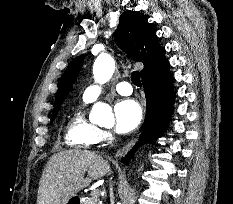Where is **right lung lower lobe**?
<instances>
[{
    "mask_svg": "<svg viewBox=\"0 0 233 204\" xmlns=\"http://www.w3.org/2000/svg\"><path fill=\"white\" fill-rule=\"evenodd\" d=\"M141 78L146 96V119L139 141L126 156L124 161L126 165L141 144L150 140L154 143L155 139L163 133L173 112L174 78L169 71V64Z\"/></svg>",
    "mask_w": 233,
    "mask_h": 204,
    "instance_id": "obj_1",
    "label": "right lung lower lobe"
}]
</instances>
